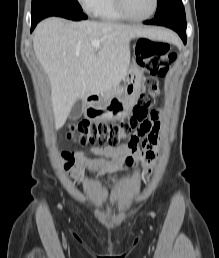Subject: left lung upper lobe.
I'll list each match as a JSON object with an SVG mask.
<instances>
[{
  "label": "left lung upper lobe",
  "mask_w": 219,
  "mask_h": 258,
  "mask_svg": "<svg viewBox=\"0 0 219 258\" xmlns=\"http://www.w3.org/2000/svg\"><path fill=\"white\" fill-rule=\"evenodd\" d=\"M157 11L155 18H160L169 14L185 15L182 0H157Z\"/></svg>",
  "instance_id": "1"
}]
</instances>
